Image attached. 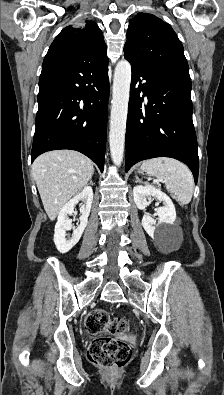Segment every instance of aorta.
<instances>
[{
  "instance_id": "1",
  "label": "aorta",
  "mask_w": 224,
  "mask_h": 395,
  "mask_svg": "<svg viewBox=\"0 0 224 395\" xmlns=\"http://www.w3.org/2000/svg\"><path fill=\"white\" fill-rule=\"evenodd\" d=\"M130 83L131 65L122 59L114 71L109 132L111 158L115 165L123 161Z\"/></svg>"
}]
</instances>
